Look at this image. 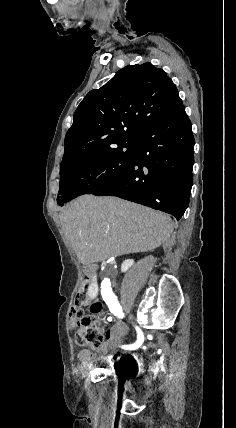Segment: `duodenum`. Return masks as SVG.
I'll return each mask as SVG.
<instances>
[{
	"mask_svg": "<svg viewBox=\"0 0 236 428\" xmlns=\"http://www.w3.org/2000/svg\"><path fill=\"white\" fill-rule=\"evenodd\" d=\"M94 272H95V266L94 265H88V266H86V268H85V274H86V276L89 279H91L93 277Z\"/></svg>",
	"mask_w": 236,
	"mask_h": 428,
	"instance_id": "1",
	"label": "duodenum"
}]
</instances>
